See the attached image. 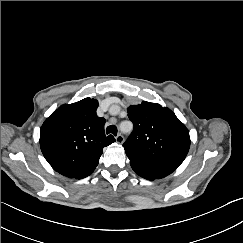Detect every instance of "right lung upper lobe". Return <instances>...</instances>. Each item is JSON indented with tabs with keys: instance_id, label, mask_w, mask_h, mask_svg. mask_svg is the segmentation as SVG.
<instances>
[{
	"instance_id": "obj_1",
	"label": "right lung upper lobe",
	"mask_w": 243,
	"mask_h": 243,
	"mask_svg": "<svg viewBox=\"0 0 243 243\" xmlns=\"http://www.w3.org/2000/svg\"><path fill=\"white\" fill-rule=\"evenodd\" d=\"M98 101L85 98L55 110L40 129L41 151L58 173L81 179L96 168L103 148L115 142L96 115Z\"/></svg>"
}]
</instances>
